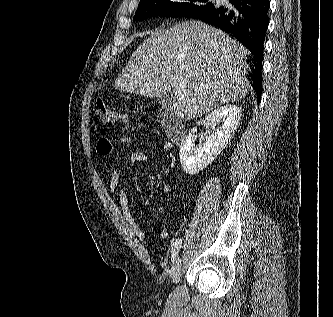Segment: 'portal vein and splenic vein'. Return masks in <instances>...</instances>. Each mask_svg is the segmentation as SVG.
Returning <instances> with one entry per match:
<instances>
[{
	"instance_id": "1",
	"label": "portal vein and splenic vein",
	"mask_w": 333,
	"mask_h": 317,
	"mask_svg": "<svg viewBox=\"0 0 333 317\" xmlns=\"http://www.w3.org/2000/svg\"><path fill=\"white\" fill-rule=\"evenodd\" d=\"M174 92L178 101L182 100L186 96V93L181 86H174Z\"/></svg>"
}]
</instances>
